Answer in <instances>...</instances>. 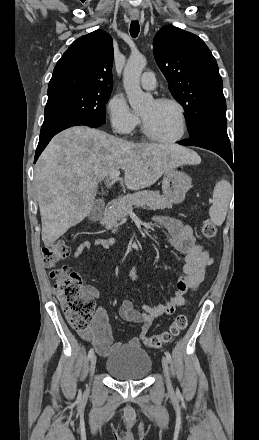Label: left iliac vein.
Instances as JSON below:
<instances>
[{"label":"left iliac vein","instance_id":"left-iliac-vein-1","mask_svg":"<svg viewBox=\"0 0 259 440\" xmlns=\"http://www.w3.org/2000/svg\"><path fill=\"white\" fill-rule=\"evenodd\" d=\"M162 367H163L167 387H168V389H171L172 384H171V379H170L168 360L166 357L162 358Z\"/></svg>","mask_w":259,"mask_h":440}]
</instances>
